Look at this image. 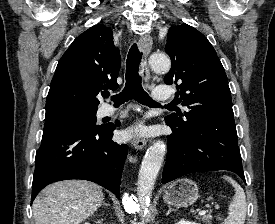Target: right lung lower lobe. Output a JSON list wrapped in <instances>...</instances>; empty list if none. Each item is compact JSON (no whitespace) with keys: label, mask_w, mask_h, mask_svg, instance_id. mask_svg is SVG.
<instances>
[{"label":"right lung lower lobe","mask_w":275,"mask_h":224,"mask_svg":"<svg viewBox=\"0 0 275 224\" xmlns=\"http://www.w3.org/2000/svg\"><path fill=\"white\" fill-rule=\"evenodd\" d=\"M116 126H120L119 121L99 128L74 124L44 126L36 152L31 202L46 185L66 179L95 182L120 198L128 147L112 140Z\"/></svg>","instance_id":"right-lung-lower-lobe-1"}]
</instances>
